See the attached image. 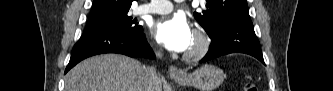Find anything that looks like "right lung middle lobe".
<instances>
[{"label": "right lung middle lobe", "mask_w": 333, "mask_h": 91, "mask_svg": "<svg viewBox=\"0 0 333 91\" xmlns=\"http://www.w3.org/2000/svg\"><path fill=\"white\" fill-rule=\"evenodd\" d=\"M85 29H116L131 33L143 32V27L138 25L137 19L128 16V11L116 15L89 19Z\"/></svg>", "instance_id": "1"}]
</instances>
